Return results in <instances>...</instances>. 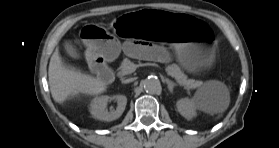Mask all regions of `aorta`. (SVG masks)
Here are the masks:
<instances>
[{
    "instance_id": "1",
    "label": "aorta",
    "mask_w": 279,
    "mask_h": 148,
    "mask_svg": "<svg viewBox=\"0 0 279 148\" xmlns=\"http://www.w3.org/2000/svg\"><path fill=\"white\" fill-rule=\"evenodd\" d=\"M144 89L150 94H159L162 90L160 80L155 76H150L143 81Z\"/></svg>"
}]
</instances>
